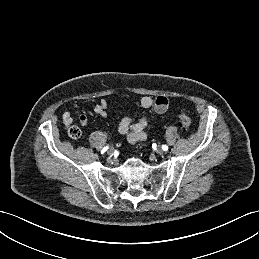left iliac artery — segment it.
<instances>
[{
  "mask_svg": "<svg viewBox=\"0 0 259 259\" xmlns=\"http://www.w3.org/2000/svg\"><path fill=\"white\" fill-rule=\"evenodd\" d=\"M162 149H163L164 151H167V150H168V146H167V145H162Z\"/></svg>",
  "mask_w": 259,
  "mask_h": 259,
  "instance_id": "left-iliac-artery-1",
  "label": "left iliac artery"
}]
</instances>
